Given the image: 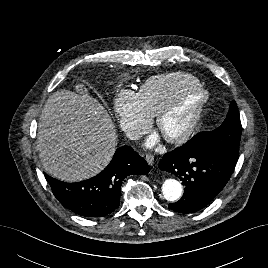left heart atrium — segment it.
<instances>
[{"label": "left heart atrium", "mask_w": 268, "mask_h": 268, "mask_svg": "<svg viewBox=\"0 0 268 268\" xmlns=\"http://www.w3.org/2000/svg\"><path fill=\"white\" fill-rule=\"evenodd\" d=\"M157 140H158V137H157L156 134H154V135H152L151 138L149 139L148 144H149V145H152V144H154Z\"/></svg>", "instance_id": "obj_1"}]
</instances>
